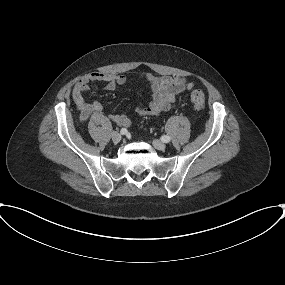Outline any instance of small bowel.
<instances>
[{
  "mask_svg": "<svg viewBox=\"0 0 285 285\" xmlns=\"http://www.w3.org/2000/svg\"><path fill=\"white\" fill-rule=\"evenodd\" d=\"M138 79L146 82L152 93L151 101L136 108L138 116H158L164 111H168L174 107L179 95L185 93L189 87V83L182 76H156L151 73H141ZM129 78L124 74L112 72H93L77 81L73 88V99L80 111V118L87 120L92 114L100 113L103 106L99 101H86V94L90 92L91 82H105L106 89L113 91L119 85L127 83ZM110 120L114 123L129 127L132 123L131 119L122 113H113L109 115Z\"/></svg>",
  "mask_w": 285,
  "mask_h": 285,
  "instance_id": "obj_1",
  "label": "small bowel"
}]
</instances>
